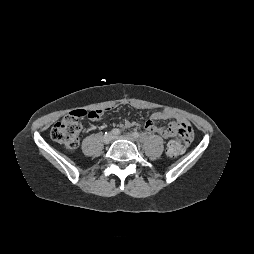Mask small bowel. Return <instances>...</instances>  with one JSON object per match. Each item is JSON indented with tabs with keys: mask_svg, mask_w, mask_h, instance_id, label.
I'll return each mask as SVG.
<instances>
[{
	"mask_svg": "<svg viewBox=\"0 0 254 254\" xmlns=\"http://www.w3.org/2000/svg\"><path fill=\"white\" fill-rule=\"evenodd\" d=\"M104 113H105L104 110H100L99 117L103 116ZM171 118H175V121H172L168 127L159 126L156 124V121L167 120ZM95 119H98V118H95ZM95 119H92V120H95ZM124 125L126 127H133L136 125V123L134 121L127 119L125 120ZM179 125H188V124L182 116L175 115L170 110L164 109V110L156 111L152 113L150 119L147 120V122L145 123V129L147 131L156 133L159 136L167 139V138H172L176 136L177 128ZM183 141H184V145H183L182 152L185 150L187 146V142L185 141V138L183 139Z\"/></svg>",
	"mask_w": 254,
	"mask_h": 254,
	"instance_id": "1",
	"label": "small bowel"
}]
</instances>
